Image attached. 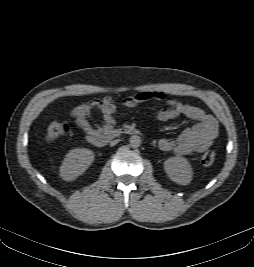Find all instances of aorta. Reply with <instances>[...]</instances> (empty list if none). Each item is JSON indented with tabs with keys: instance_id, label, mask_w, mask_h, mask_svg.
Here are the masks:
<instances>
[{
	"instance_id": "obj_1",
	"label": "aorta",
	"mask_w": 254,
	"mask_h": 267,
	"mask_svg": "<svg viewBox=\"0 0 254 267\" xmlns=\"http://www.w3.org/2000/svg\"><path fill=\"white\" fill-rule=\"evenodd\" d=\"M130 146L132 148H137L141 145V138L138 135H132L130 137Z\"/></svg>"
}]
</instances>
